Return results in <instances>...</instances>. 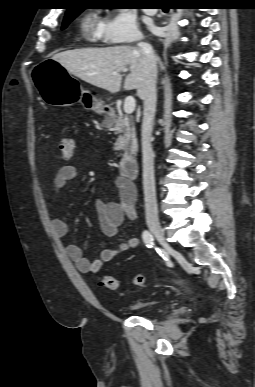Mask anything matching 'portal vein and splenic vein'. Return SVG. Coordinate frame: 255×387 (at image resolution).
<instances>
[{
	"label": "portal vein and splenic vein",
	"instance_id": "portal-vein-and-splenic-vein-1",
	"mask_svg": "<svg viewBox=\"0 0 255 387\" xmlns=\"http://www.w3.org/2000/svg\"><path fill=\"white\" fill-rule=\"evenodd\" d=\"M135 107H136V102H135L134 97H132V96L126 97V99L124 101V106H123V109H124V112L126 113V115L132 114L135 110Z\"/></svg>",
	"mask_w": 255,
	"mask_h": 387
}]
</instances>
